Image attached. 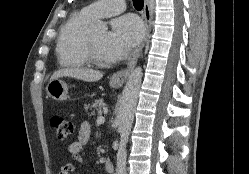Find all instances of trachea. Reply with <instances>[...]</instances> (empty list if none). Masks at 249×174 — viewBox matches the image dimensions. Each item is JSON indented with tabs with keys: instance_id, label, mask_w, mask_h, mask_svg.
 I'll list each match as a JSON object with an SVG mask.
<instances>
[{
	"instance_id": "3493384b",
	"label": "trachea",
	"mask_w": 249,
	"mask_h": 174,
	"mask_svg": "<svg viewBox=\"0 0 249 174\" xmlns=\"http://www.w3.org/2000/svg\"><path fill=\"white\" fill-rule=\"evenodd\" d=\"M133 5L136 10H141L144 6V1L143 0H133Z\"/></svg>"
}]
</instances>
